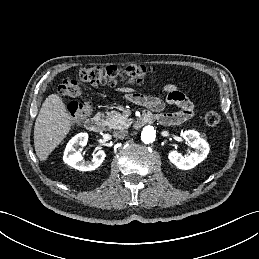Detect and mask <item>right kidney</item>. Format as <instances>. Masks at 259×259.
<instances>
[{
  "label": "right kidney",
  "instance_id": "obj_1",
  "mask_svg": "<svg viewBox=\"0 0 259 259\" xmlns=\"http://www.w3.org/2000/svg\"><path fill=\"white\" fill-rule=\"evenodd\" d=\"M88 134L87 133H79L75 135L66 145L63 160L64 162L80 171H92L98 168L103 160L105 159V152L103 150L97 151L91 160L85 161L80 151L79 147H83L87 144Z\"/></svg>",
  "mask_w": 259,
  "mask_h": 259
}]
</instances>
